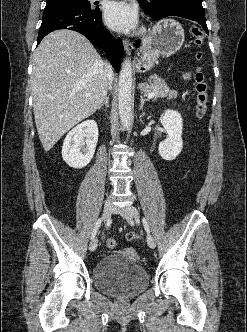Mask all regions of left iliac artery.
Wrapping results in <instances>:
<instances>
[{"label":"left iliac artery","instance_id":"1","mask_svg":"<svg viewBox=\"0 0 247 332\" xmlns=\"http://www.w3.org/2000/svg\"><path fill=\"white\" fill-rule=\"evenodd\" d=\"M143 225H144V228L147 231V233H150L149 225L145 218H143Z\"/></svg>","mask_w":247,"mask_h":332}]
</instances>
